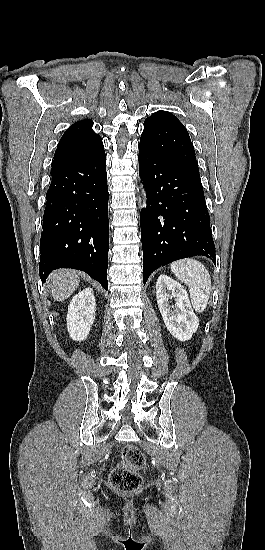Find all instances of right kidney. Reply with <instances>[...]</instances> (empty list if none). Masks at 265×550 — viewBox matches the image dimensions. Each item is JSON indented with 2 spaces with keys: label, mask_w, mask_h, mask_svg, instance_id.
<instances>
[{
  "label": "right kidney",
  "mask_w": 265,
  "mask_h": 550,
  "mask_svg": "<svg viewBox=\"0 0 265 550\" xmlns=\"http://www.w3.org/2000/svg\"><path fill=\"white\" fill-rule=\"evenodd\" d=\"M95 297L92 288H86L73 297L68 306L67 329L75 341L87 338L95 319Z\"/></svg>",
  "instance_id": "obj_1"
}]
</instances>
